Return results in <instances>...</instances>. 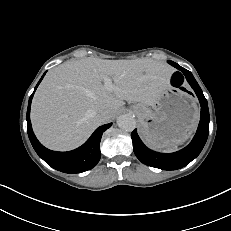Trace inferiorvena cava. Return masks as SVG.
<instances>
[{
    "instance_id": "602c4592",
    "label": "inferior vena cava",
    "mask_w": 231,
    "mask_h": 231,
    "mask_svg": "<svg viewBox=\"0 0 231 231\" xmlns=\"http://www.w3.org/2000/svg\"><path fill=\"white\" fill-rule=\"evenodd\" d=\"M98 117L101 119L103 123L107 122L110 118L108 111L102 110L98 113Z\"/></svg>"
}]
</instances>
